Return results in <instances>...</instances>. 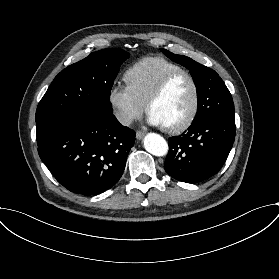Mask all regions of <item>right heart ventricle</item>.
I'll return each mask as SVG.
<instances>
[{
	"label": "right heart ventricle",
	"instance_id": "e07e8e85",
	"mask_svg": "<svg viewBox=\"0 0 279 279\" xmlns=\"http://www.w3.org/2000/svg\"><path fill=\"white\" fill-rule=\"evenodd\" d=\"M180 70H184V67L166 58L146 57L136 62L126 72V80L133 91L147 102L164 77Z\"/></svg>",
	"mask_w": 279,
	"mask_h": 279
}]
</instances>
